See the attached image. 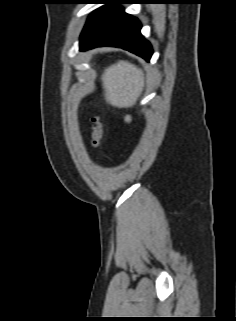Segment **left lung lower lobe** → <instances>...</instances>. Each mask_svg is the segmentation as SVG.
Returning a JSON list of instances; mask_svg holds the SVG:
<instances>
[{
	"label": "left lung lower lobe",
	"mask_w": 236,
	"mask_h": 321,
	"mask_svg": "<svg viewBox=\"0 0 236 321\" xmlns=\"http://www.w3.org/2000/svg\"><path fill=\"white\" fill-rule=\"evenodd\" d=\"M94 3L106 5L89 16L80 36V50L120 47L150 61L152 47L140 33V22L119 6L131 4L133 0H96Z\"/></svg>",
	"instance_id": "left-lung-lower-lobe-1"
}]
</instances>
